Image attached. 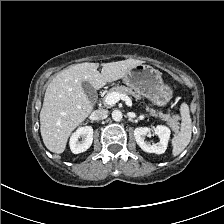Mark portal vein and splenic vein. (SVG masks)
Returning a JSON list of instances; mask_svg holds the SVG:
<instances>
[{"instance_id":"18ae733b","label":"portal vein and splenic vein","mask_w":224,"mask_h":224,"mask_svg":"<svg viewBox=\"0 0 224 224\" xmlns=\"http://www.w3.org/2000/svg\"><path fill=\"white\" fill-rule=\"evenodd\" d=\"M124 100L127 106H132V101L131 99L125 95V94H120L118 92H112L107 94L105 97V103L107 105H114L116 104L119 100Z\"/></svg>"}]
</instances>
